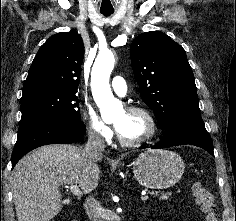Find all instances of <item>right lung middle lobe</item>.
I'll list each match as a JSON object with an SVG mask.
<instances>
[{
	"mask_svg": "<svg viewBox=\"0 0 236 221\" xmlns=\"http://www.w3.org/2000/svg\"><path fill=\"white\" fill-rule=\"evenodd\" d=\"M21 121L36 117H54L81 124L76 92L39 90L23 94Z\"/></svg>",
	"mask_w": 236,
	"mask_h": 221,
	"instance_id": "1",
	"label": "right lung middle lobe"
}]
</instances>
